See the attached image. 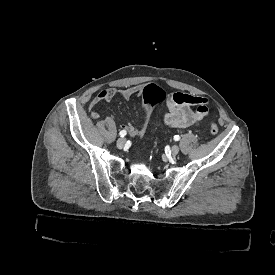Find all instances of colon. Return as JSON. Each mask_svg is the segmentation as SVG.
I'll return each instance as SVG.
<instances>
[{"mask_svg": "<svg viewBox=\"0 0 275 275\" xmlns=\"http://www.w3.org/2000/svg\"><path fill=\"white\" fill-rule=\"evenodd\" d=\"M142 95L145 97V102H143V111L145 112L144 124L141 126L139 131L131 134L130 137H136L138 141H141L145 137V126L150 118L149 110L153 109L155 103H160L165 99L166 94L161 90L159 85L149 84L145 87ZM219 128L216 123L211 122L210 124V133L212 135H217Z\"/></svg>", "mask_w": 275, "mask_h": 275, "instance_id": "5ec220e1", "label": "colon"}]
</instances>
